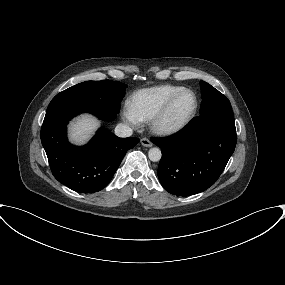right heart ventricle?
<instances>
[{"label": "right heart ventricle", "instance_id": "e07e8e85", "mask_svg": "<svg viewBox=\"0 0 285 285\" xmlns=\"http://www.w3.org/2000/svg\"><path fill=\"white\" fill-rule=\"evenodd\" d=\"M185 89L176 85H160L134 92L129 106L140 121H149L176 93Z\"/></svg>", "mask_w": 285, "mask_h": 285}]
</instances>
